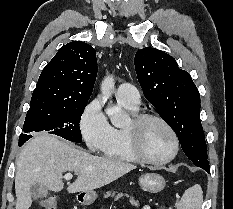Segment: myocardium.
<instances>
[{"label": "myocardium", "instance_id": "f54148a6", "mask_svg": "<svg viewBox=\"0 0 233 209\" xmlns=\"http://www.w3.org/2000/svg\"><path fill=\"white\" fill-rule=\"evenodd\" d=\"M148 121H157L160 124H162L169 134L172 137L173 140V151L172 153L165 159L162 160H156L149 158L142 150L141 147V132L143 126ZM126 136H127V142L128 146L132 152V154L141 162L152 164V165H166L170 163L172 160L175 159L179 152V139L177 136L176 131L171 126V124L165 120L163 117L153 114V113H139L136 114L130 124L125 128Z\"/></svg>", "mask_w": 233, "mask_h": 209}]
</instances>
